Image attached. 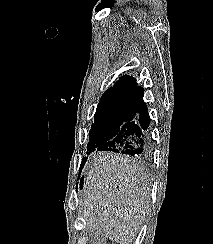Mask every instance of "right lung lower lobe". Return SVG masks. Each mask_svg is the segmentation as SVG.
<instances>
[{
  "label": "right lung lower lobe",
  "mask_w": 213,
  "mask_h": 244,
  "mask_svg": "<svg viewBox=\"0 0 213 244\" xmlns=\"http://www.w3.org/2000/svg\"><path fill=\"white\" fill-rule=\"evenodd\" d=\"M143 97L144 91L136 98L133 116L122 125L119 133L111 140L97 146L94 150L87 151V154L99 150L140 157L147 153L148 137L145 130L149 126L150 119ZM83 165L84 163H82Z\"/></svg>",
  "instance_id": "98d812e1"
}]
</instances>
